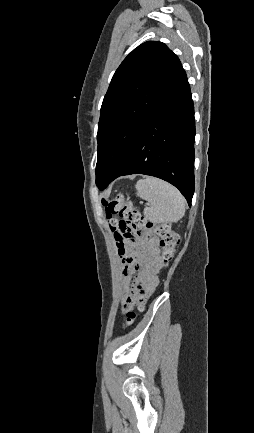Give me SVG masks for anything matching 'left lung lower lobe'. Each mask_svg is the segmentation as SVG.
<instances>
[{"label": "left lung lower lobe", "instance_id": "obj_1", "mask_svg": "<svg viewBox=\"0 0 254 433\" xmlns=\"http://www.w3.org/2000/svg\"><path fill=\"white\" fill-rule=\"evenodd\" d=\"M194 141V106L182 69L139 130L122 163L99 189L119 176L146 174L177 187L190 206L194 194Z\"/></svg>", "mask_w": 254, "mask_h": 433}]
</instances>
